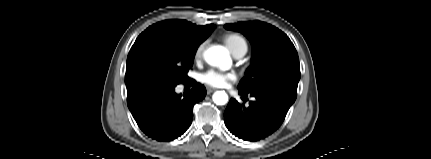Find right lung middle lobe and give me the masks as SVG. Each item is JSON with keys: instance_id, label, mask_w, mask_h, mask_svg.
<instances>
[{"instance_id": "dd1d6c3e", "label": "right lung middle lobe", "mask_w": 431, "mask_h": 159, "mask_svg": "<svg viewBox=\"0 0 431 159\" xmlns=\"http://www.w3.org/2000/svg\"><path fill=\"white\" fill-rule=\"evenodd\" d=\"M198 46L162 33L142 32L127 57L126 85L187 81Z\"/></svg>"}]
</instances>
